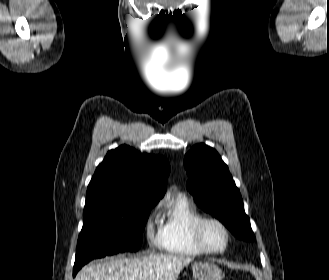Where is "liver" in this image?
Returning <instances> with one entry per match:
<instances>
[{
  "instance_id": "1",
  "label": "liver",
  "mask_w": 329,
  "mask_h": 280,
  "mask_svg": "<svg viewBox=\"0 0 329 280\" xmlns=\"http://www.w3.org/2000/svg\"><path fill=\"white\" fill-rule=\"evenodd\" d=\"M192 257L149 254L116 258L85 266L75 280H176Z\"/></svg>"
}]
</instances>
